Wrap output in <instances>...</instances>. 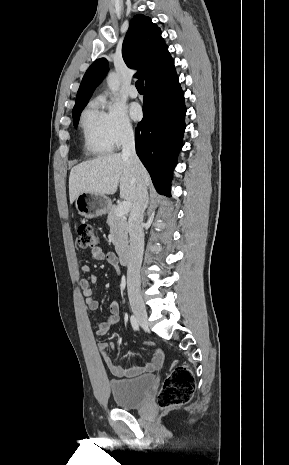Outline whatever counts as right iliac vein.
I'll return each mask as SVG.
<instances>
[{"label":"right iliac vein","mask_w":289,"mask_h":465,"mask_svg":"<svg viewBox=\"0 0 289 465\" xmlns=\"http://www.w3.org/2000/svg\"><path fill=\"white\" fill-rule=\"evenodd\" d=\"M130 305L134 312L139 324L147 329L148 328V315L144 304L139 299H131Z\"/></svg>","instance_id":"right-iliac-vein-1"}]
</instances>
